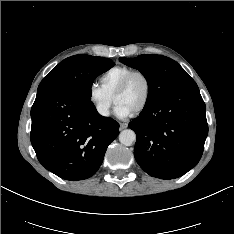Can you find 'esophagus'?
<instances>
[{
  "instance_id": "34e87169",
  "label": "esophagus",
  "mask_w": 234,
  "mask_h": 234,
  "mask_svg": "<svg viewBox=\"0 0 234 234\" xmlns=\"http://www.w3.org/2000/svg\"><path fill=\"white\" fill-rule=\"evenodd\" d=\"M127 126H128V124L125 123V122H121V123H120V129H121V130L127 128Z\"/></svg>"
}]
</instances>
